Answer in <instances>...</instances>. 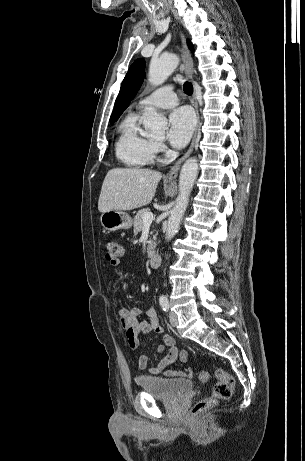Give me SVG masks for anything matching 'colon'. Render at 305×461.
Instances as JSON below:
<instances>
[{
  "mask_svg": "<svg viewBox=\"0 0 305 461\" xmlns=\"http://www.w3.org/2000/svg\"><path fill=\"white\" fill-rule=\"evenodd\" d=\"M104 248L106 259L112 265H117L125 254L123 245L117 240H106L104 243ZM215 377L217 382L213 386L211 394L208 397L197 401L193 406L191 410L193 416L205 412L218 404L220 401L227 400L231 397L235 385L233 376L225 370L218 369L215 371ZM208 378V372L206 370H201L199 373V379L201 381H207Z\"/></svg>",
  "mask_w": 305,
  "mask_h": 461,
  "instance_id": "colon-1",
  "label": "colon"
}]
</instances>
